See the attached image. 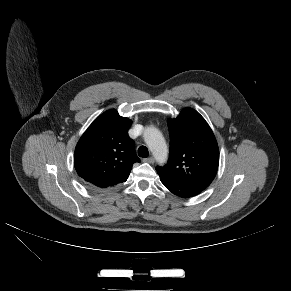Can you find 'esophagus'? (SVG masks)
<instances>
[{
    "instance_id": "34e87169",
    "label": "esophagus",
    "mask_w": 291,
    "mask_h": 291,
    "mask_svg": "<svg viewBox=\"0 0 291 291\" xmlns=\"http://www.w3.org/2000/svg\"><path fill=\"white\" fill-rule=\"evenodd\" d=\"M143 161L147 162V163H150V164H153L155 162L153 157H149V158L143 159Z\"/></svg>"
}]
</instances>
